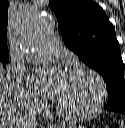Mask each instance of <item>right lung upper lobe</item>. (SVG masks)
<instances>
[{
    "label": "right lung upper lobe",
    "mask_w": 125,
    "mask_h": 128,
    "mask_svg": "<svg viewBox=\"0 0 125 128\" xmlns=\"http://www.w3.org/2000/svg\"><path fill=\"white\" fill-rule=\"evenodd\" d=\"M8 25V0H0V59H9L6 42Z\"/></svg>",
    "instance_id": "right-lung-upper-lobe-1"
}]
</instances>
